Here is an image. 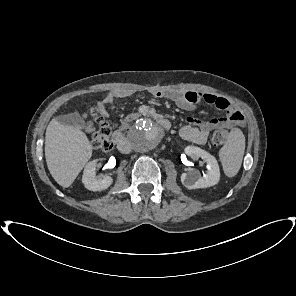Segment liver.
<instances>
[{
	"label": "liver",
	"instance_id": "1",
	"mask_svg": "<svg viewBox=\"0 0 296 296\" xmlns=\"http://www.w3.org/2000/svg\"><path fill=\"white\" fill-rule=\"evenodd\" d=\"M86 134L53 118L45 133V158L50 174L62 187H69L92 156Z\"/></svg>",
	"mask_w": 296,
	"mask_h": 296
}]
</instances>
